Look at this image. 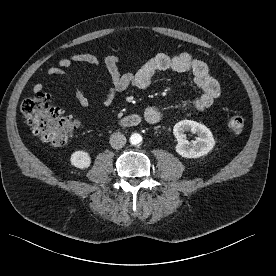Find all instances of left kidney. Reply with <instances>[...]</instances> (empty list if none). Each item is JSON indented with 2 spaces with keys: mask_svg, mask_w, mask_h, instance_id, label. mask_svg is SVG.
<instances>
[{
  "mask_svg": "<svg viewBox=\"0 0 276 276\" xmlns=\"http://www.w3.org/2000/svg\"><path fill=\"white\" fill-rule=\"evenodd\" d=\"M186 131L197 134L192 143L186 140ZM177 139L176 152L184 158H199L208 154L215 146V140L211 131L203 124L192 120H182L173 128Z\"/></svg>",
  "mask_w": 276,
  "mask_h": 276,
  "instance_id": "left-kidney-1",
  "label": "left kidney"
}]
</instances>
